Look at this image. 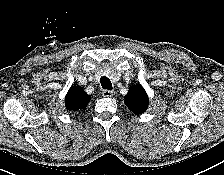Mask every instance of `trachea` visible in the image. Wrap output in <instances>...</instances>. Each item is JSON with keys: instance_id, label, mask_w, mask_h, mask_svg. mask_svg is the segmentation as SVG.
<instances>
[{"instance_id": "obj_1", "label": "trachea", "mask_w": 224, "mask_h": 175, "mask_svg": "<svg viewBox=\"0 0 224 175\" xmlns=\"http://www.w3.org/2000/svg\"><path fill=\"white\" fill-rule=\"evenodd\" d=\"M100 83L103 89L112 90V83L109 78L102 77Z\"/></svg>"}]
</instances>
